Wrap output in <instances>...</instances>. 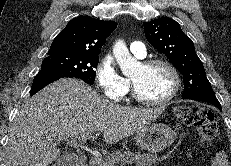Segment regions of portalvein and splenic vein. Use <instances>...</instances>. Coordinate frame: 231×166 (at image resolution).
Returning <instances> with one entry per match:
<instances>
[{"instance_id": "18ae733b", "label": "portal vein and splenic vein", "mask_w": 231, "mask_h": 166, "mask_svg": "<svg viewBox=\"0 0 231 166\" xmlns=\"http://www.w3.org/2000/svg\"><path fill=\"white\" fill-rule=\"evenodd\" d=\"M91 137H92L91 133H83L76 136L74 139H72V141L76 146H79L82 142L89 140Z\"/></svg>"}]
</instances>
